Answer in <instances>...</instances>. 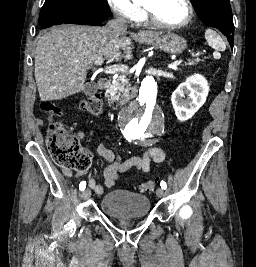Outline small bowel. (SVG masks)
Listing matches in <instances>:
<instances>
[{
	"label": "small bowel",
	"instance_id": "c3829d8e",
	"mask_svg": "<svg viewBox=\"0 0 256 267\" xmlns=\"http://www.w3.org/2000/svg\"><path fill=\"white\" fill-rule=\"evenodd\" d=\"M79 141H83L84 137L79 136ZM96 153L105 161V167L102 172L104 186L98 184L94 178L89 179V186L97 194H103L105 189L112 188L121 174L128 173L133 168H138L143 172H148L153 162L161 163L165 160V153L159 147L153 146L146 149L140 155L134 156L125 161H121L114 150L106 145H99L96 148ZM65 176L70 177L72 174L68 169H63ZM79 177H87L88 171L83 170L77 173Z\"/></svg>",
	"mask_w": 256,
	"mask_h": 267
}]
</instances>
